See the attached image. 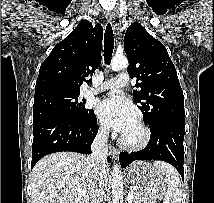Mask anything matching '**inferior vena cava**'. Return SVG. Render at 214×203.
<instances>
[{
    "label": "inferior vena cava",
    "instance_id": "obj_1",
    "mask_svg": "<svg viewBox=\"0 0 214 203\" xmlns=\"http://www.w3.org/2000/svg\"><path fill=\"white\" fill-rule=\"evenodd\" d=\"M108 135V128H100L91 145L92 153L86 158L89 170L90 203H101L107 186Z\"/></svg>",
    "mask_w": 214,
    "mask_h": 203
}]
</instances>
